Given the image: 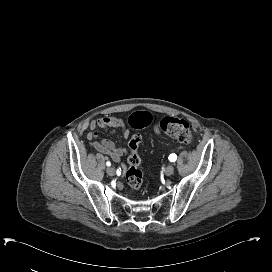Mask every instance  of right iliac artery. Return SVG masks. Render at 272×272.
<instances>
[{
	"instance_id": "obj_1",
	"label": "right iliac artery",
	"mask_w": 272,
	"mask_h": 272,
	"mask_svg": "<svg viewBox=\"0 0 272 272\" xmlns=\"http://www.w3.org/2000/svg\"><path fill=\"white\" fill-rule=\"evenodd\" d=\"M111 165V163L110 162H107V166H110Z\"/></svg>"
}]
</instances>
